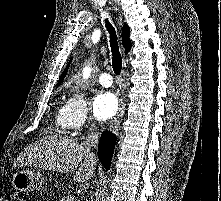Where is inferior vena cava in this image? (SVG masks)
<instances>
[{
  "label": "inferior vena cava",
  "mask_w": 221,
  "mask_h": 201,
  "mask_svg": "<svg viewBox=\"0 0 221 201\" xmlns=\"http://www.w3.org/2000/svg\"><path fill=\"white\" fill-rule=\"evenodd\" d=\"M99 142V133L97 132H91L90 134H88V136L86 137L85 140V144L88 146H93V147H97Z\"/></svg>",
  "instance_id": "1"
}]
</instances>
